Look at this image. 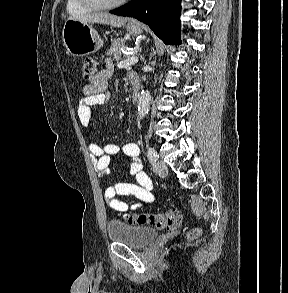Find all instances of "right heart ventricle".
I'll use <instances>...</instances> for the list:
<instances>
[{
    "mask_svg": "<svg viewBox=\"0 0 288 293\" xmlns=\"http://www.w3.org/2000/svg\"><path fill=\"white\" fill-rule=\"evenodd\" d=\"M66 9L71 15H83L94 10L83 4L81 0H67Z\"/></svg>",
    "mask_w": 288,
    "mask_h": 293,
    "instance_id": "right-heart-ventricle-1",
    "label": "right heart ventricle"
}]
</instances>
